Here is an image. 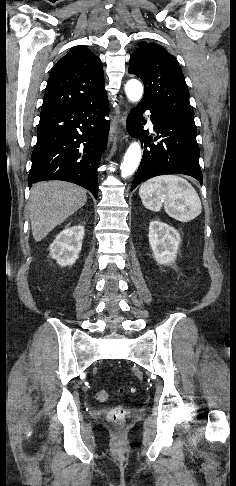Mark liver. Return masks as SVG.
Returning a JSON list of instances; mask_svg holds the SVG:
<instances>
[{
  "label": "liver",
  "instance_id": "obj_1",
  "mask_svg": "<svg viewBox=\"0 0 236 486\" xmlns=\"http://www.w3.org/2000/svg\"><path fill=\"white\" fill-rule=\"evenodd\" d=\"M86 201V191L69 182L48 181L33 185L28 210L35 241L44 239Z\"/></svg>",
  "mask_w": 236,
  "mask_h": 486
}]
</instances>
